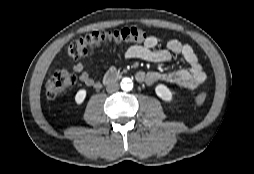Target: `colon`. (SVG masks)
<instances>
[{
	"label": "colon",
	"mask_w": 254,
	"mask_h": 174,
	"mask_svg": "<svg viewBox=\"0 0 254 174\" xmlns=\"http://www.w3.org/2000/svg\"><path fill=\"white\" fill-rule=\"evenodd\" d=\"M147 36L144 30L136 27H127L119 30L94 31L70 43L67 53L70 57L78 59L88 54L93 48L103 44L141 43ZM76 82L74 74L67 70L56 71L46 84V95L50 99L61 96ZM207 94L201 92L196 95L195 102L203 104Z\"/></svg>",
	"instance_id": "5ec220e1"
}]
</instances>
